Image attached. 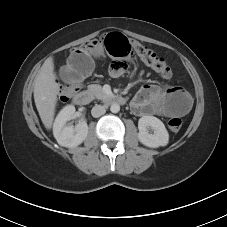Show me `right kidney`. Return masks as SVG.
<instances>
[{"mask_svg":"<svg viewBox=\"0 0 227 227\" xmlns=\"http://www.w3.org/2000/svg\"><path fill=\"white\" fill-rule=\"evenodd\" d=\"M75 107L65 106L58 114L53 125V134L58 144L63 147L72 148L80 145L87 137L88 125L81 121L75 126L66 125L67 121L73 119Z\"/></svg>","mask_w":227,"mask_h":227,"instance_id":"1","label":"right kidney"}]
</instances>
